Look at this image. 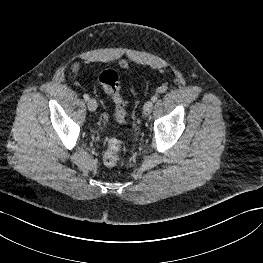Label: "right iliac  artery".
Here are the masks:
<instances>
[{"mask_svg":"<svg viewBox=\"0 0 263 263\" xmlns=\"http://www.w3.org/2000/svg\"><path fill=\"white\" fill-rule=\"evenodd\" d=\"M83 97H84V100H85V101H88V100H89V95H88V94H84Z\"/></svg>","mask_w":263,"mask_h":263,"instance_id":"obj_1","label":"right iliac artery"}]
</instances>
